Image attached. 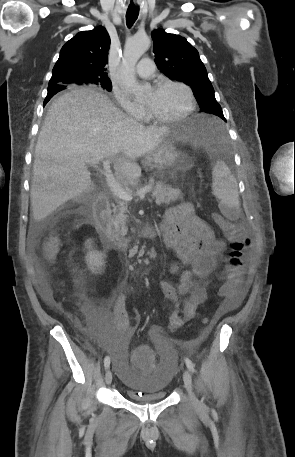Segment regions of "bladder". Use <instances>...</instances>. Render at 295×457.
Segmentation results:
<instances>
[{"mask_svg":"<svg viewBox=\"0 0 295 457\" xmlns=\"http://www.w3.org/2000/svg\"><path fill=\"white\" fill-rule=\"evenodd\" d=\"M129 338H102L100 345L107 347L106 360L116 365L115 370L121 375V381L126 388V395L134 402L146 403L161 401L167 397V387L172 373L170 369L178 368L177 354L173 345L158 342L156 349L163 354L156 374H133L130 370Z\"/></svg>","mask_w":295,"mask_h":457,"instance_id":"bladder-1","label":"bladder"}]
</instances>
